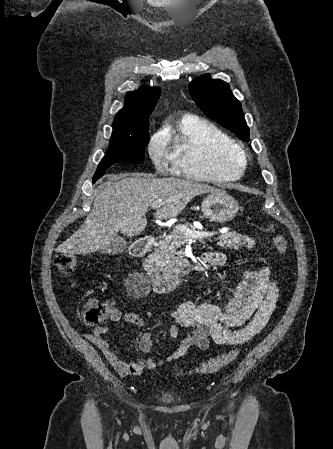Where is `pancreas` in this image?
I'll return each mask as SVG.
<instances>
[{"label":"pancreas","instance_id":"pancreas-1","mask_svg":"<svg viewBox=\"0 0 333 449\" xmlns=\"http://www.w3.org/2000/svg\"><path fill=\"white\" fill-rule=\"evenodd\" d=\"M184 226L187 228L192 227L188 223ZM217 239L220 246H226L235 250L239 247L251 249L255 245V240L236 231H227L218 236ZM189 240H191L190 237L175 228L173 232L157 244L153 257L157 266L165 275L172 274V271L177 269L179 264L184 261L182 246Z\"/></svg>","mask_w":333,"mask_h":449}]
</instances>
